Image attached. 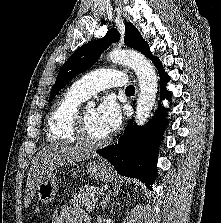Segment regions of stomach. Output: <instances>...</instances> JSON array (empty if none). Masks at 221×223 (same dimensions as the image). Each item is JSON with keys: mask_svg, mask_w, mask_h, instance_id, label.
I'll return each instance as SVG.
<instances>
[{"mask_svg": "<svg viewBox=\"0 0 221 223\" xmlns=\"http://www.w3.org/2000/svg\"><path fill=\"white\" fill-rule=\"evenodd\" d=\"M87 172L97 181L111 182L114 179L112 169L102 162L93 161L87 164ZM57 178L52 172L44 176L37 186L38 199L43 204L50 203L57 194Z\"/></svg>", "mask_w": 221, "mask_h": 223, "instance_id": "0dacf381", "label": "stomach"}]
</instances>
